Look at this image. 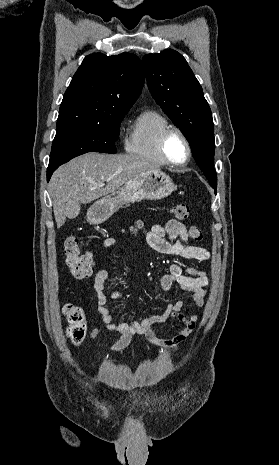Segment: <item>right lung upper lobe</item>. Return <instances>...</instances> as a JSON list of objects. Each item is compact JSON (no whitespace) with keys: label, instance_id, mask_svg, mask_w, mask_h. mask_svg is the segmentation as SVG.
<instances>
[{"label":"right lung upper lobe","instance_id":"obj_1","mask_svg":"<svg viewBox=\"0 0 279 465\" xmlns=\"http://www.w3.org/2000/svg\"><path fill=\"white\" fill-rule=\"evenodd\" d=\"M143 82L142 64L134 54L86 56L65 92L57 127L100 122L113 110L130 109Z\"/></svg>","mask_w":279,"mask_h":465}]
</instances>
